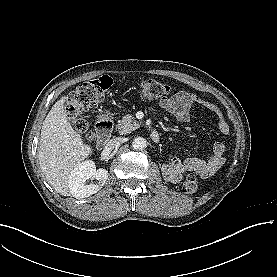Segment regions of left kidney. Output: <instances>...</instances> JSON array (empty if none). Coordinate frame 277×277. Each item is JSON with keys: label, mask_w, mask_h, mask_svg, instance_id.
Returning <instances> with one entry per match:
<instances>
[{"label": "left kidney", "mask_w": 277, "mask_h": 277, "mask_svg": "<svg viewBox=\"0 0 277 277\" xmlns=\"http://www.w3.org/2000/svg\"><path fill=\"white\" fill-rule=\"evenodd\" d=\"M181 170L170 166L163 165L162 174L170 181H175L178 176L181 175Z\"/></svg>", "instance_id": "1"}]
</instances>
